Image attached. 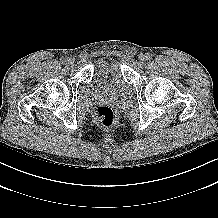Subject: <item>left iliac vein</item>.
<instances>
[{
    "label": "left iliac vein",
    "instance_id": "left-iliac-vein-1",
    "mask_svg": "<svg viewBox=\"0 0 218 218\" xmlns=\"http://www.w3.org/2000/svg\"><path fill=\"white\" fill-rule=\"evenodd\" d=\"M138 60H139V62L141 63V64H143L147 59H146V55H144V54H140L139 56H138Z\"/></svg>",
    "mask_w": 218,
    "mask_h": 218
}]
</instances>
